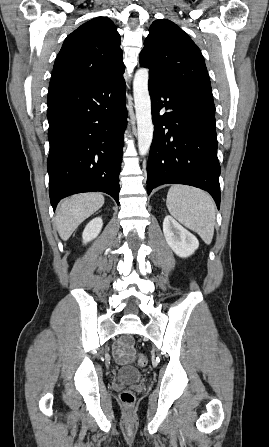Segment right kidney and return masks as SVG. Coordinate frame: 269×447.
Listing matches in <instances>:
<instances>
[{
    "label": "right kidney",
    "mask_w": 269,
    "mask_h": 447,
    "mask_svg": "<svg viewBox=\"0 0 269 447\" xmlns=\"http://www.w3.org/2000/svg\"><path fill=\"white\" fill-rule=\"evenodd\" d=\"M102 225V218H94V220H91V222L84 227V231L82 233L83 243H87V241H91V239L97 237L98 233H100L102 229Z\"/></svg>",
    "instance_id": "ca27d5eb"
}]
</instances>
